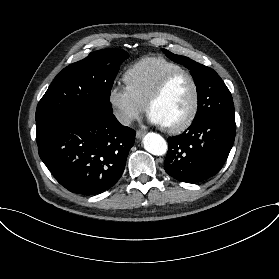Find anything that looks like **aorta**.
<instances>
[{"label":"aorta","instance_id":"762f6f07","mask_svg":"<svg viewBox=\"0 0 279 279\" xmlns=\"http://www.w3.org/2000/svg\"><path fill=\"white\" fill-rule=\"evenodd\" d=\"M143 145L149 153L162 156L168 150V145L165 139L157 133L150 132L143 138Z\"/></svg>","mask_w":279,"mask_h":279}]
</instances>
